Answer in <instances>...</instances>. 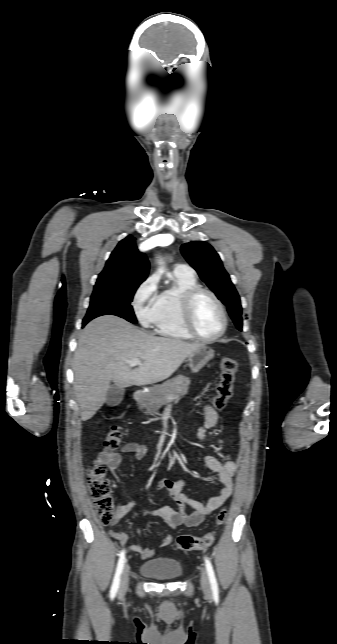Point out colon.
Segmentation results:
<instances>
[{"label":"colon","mask_w":337,"mask_h":644,"mask_svg":"<svg viewBox=\"0 0 337 644\" xmlns=\"http://www.w3.org/2000/svg\"><path fill=\"white\" fill-rule=\"evenodd\" d=\"M219 381L216 392L211 399V407L214 410L223 409L233 393L237 363L235 360L224 357L219 362ZM122 439L120 428L113 425L106 435L104 445L107 449L116 450L119 448ZM106 468L101 461H96L88 470V487L96 513L103 524H109L115 516V506L111 486L105 477ZM227 512L222 509L216 516V524L222 525L226 521ZM215 538L214 532L202 536L181 535L175 542V548L179 551L201 550L209 547Z\"/></svg>","instance_id":"1"}]
</instances>
